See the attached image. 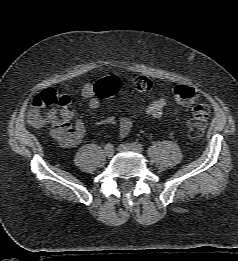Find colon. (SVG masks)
<instances>
[{"mask_svg":"<svg viewBox=\"0 0 238 261\" xmlns=\"http://www.w3.org/2000/svg\"><path fill=\"white\" fill-rule=\"evenodd\" d=\"M131 85L139 93L148 92L152 86L151 81L145 76L135 77ZM122 87L123 83L117 77H106L95 84L96 92L101 98L116 95ZM173 97L179 105L190 107L192 110V118L188 122L190 135L192 137L201 135L209 115V106L202 100L199 90L186 85H177L173 90ZM70 103L68 96L51 88L46 89L32 99L28 120L35 127L42 126L53 115L66 120L70 114Z\"/></svg>","mask_w":238,"mask_h":261,"instance_id":"1","label":"colon"}]
</instances>
